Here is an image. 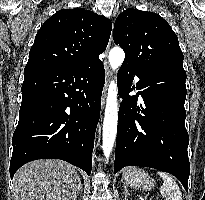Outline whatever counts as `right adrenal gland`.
<instances>
[{
    "label": "right adrenal gland",
    "instance_id": "2a0ac1e0",
    "mask_svg": "<svg viewBox=\"0 0 205 200\" xmlns=\"http://www.w3.org/2000/svg\"><path fill=\"white\" fill-rule=\"evenodd\" d=\"M81 190H82V183H81V180H79L78 190H77L76 196L73 200H76V198L79 195Z\"/></svg>",
    "mask_w": 205,
    "mask_h": 200
}]
</instances>
